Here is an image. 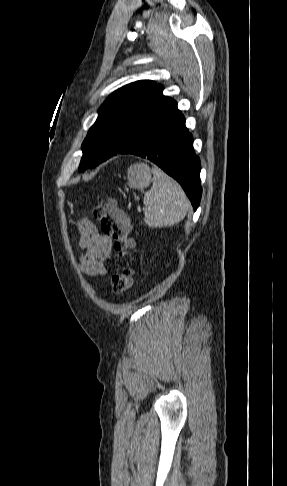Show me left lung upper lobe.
<instances>
[{
	"mask_svg": "<svg viewBox=\"0 0 287 486\" xmlns=\"http://www.w3.org/2000/svg\"><path fill=\"white\" fill-rule=\"evenodd\" d=\"M162 91V85L141 80L113 92L99 108L98 118L82 143L78 171L140 146L177 108L176 101Z\"/></svg>",
	"mask_w": 287,
	"mask_h": 486,
	"instance_id": "obj_1",
	"label": "left lung upper lobe"
}]
</instances>
